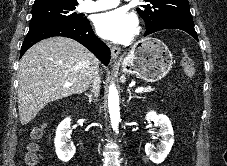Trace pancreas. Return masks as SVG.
<instances>
[{
	"label": "pancreas",
	"instance_id": "1",
	"mask_svg": "<svg viewBox=\"0 0 227 166\" xmlns=\"http://www.w3.org/2000/svg\"><path fill=\"white\" fill-rule=\"evenodd\" d=\"M154 89L152 87H146V91L145 92H151L153 91Z\"/></svg>",
	"mask_w": 227,
	"mask_h": 166
}]
</instances>
